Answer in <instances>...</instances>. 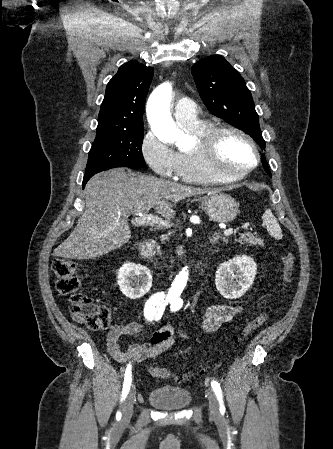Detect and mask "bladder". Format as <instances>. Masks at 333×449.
<instances>
[{
  "instance_id": "1",
  "label": "bladder",
  "mask_w": 333,
  "mask_h": 449,
  "mask_svg": "<svg viewBox=\"0 0 333 449\" xmlns=\"http://www.w3.org/2000/svg\"><path fill=\"white\" fill-rule=\"evenodd\" d=\"M147 400L151 406L161 410H180L189 406L192 396L186 388L161 385L148 393Z\"/></svg>"
}]
</instances>
